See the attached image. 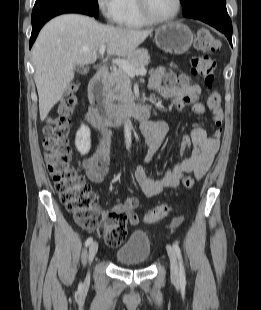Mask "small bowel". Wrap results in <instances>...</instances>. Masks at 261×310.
<instances>
[{"instance_id":"c3829d8e","label":"small bowel","mask_w":261,"mask_h":310,"mask_svg":"<svg viewBox=\"0 0 261 310\" xmlns=\"http://www.w3.org/2000/svg\"><path fill=\"white\" fill-rule=\"evenodd\" d=\"M165 75L164 68H158L150 81V88L162 97L170 99L174 105L180 109L190 105L196 113L205 112V106L200 100L201 89L196 83H192L183 78L178 84H163ZM141 131L145 137L144 161H150L159 150L168 133V126L162 121H149L141 125ZM193 145L192 153L181 162L177 163L171 170H167L161 179H153L148 175L142 166H138L135 171L136 183L141 192L152 197L161 193L165 189L176 188L186 175L193 174L200 178L208 170L219 149V138L209 137L206 131L199 125H195L189 135L183 137ZM110 152L106 142H102L96 150L82 161V168L87 177L96 183L102 182L109 173ZM139 205L136 197H131L125 201L117 200L110 210L104 212L103 216L109 213H124L127 215L129 223L138 225L139 217L135 209Z\"/></svg>"}]
</instances>
